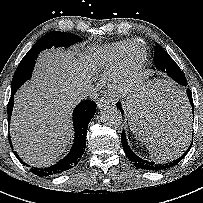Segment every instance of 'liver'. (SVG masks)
<instances>
[{"label": "liver", "instance_id": "1", "mask_svg": "<svg viewBox=\"0 0 203 203\" xmlns=\"http://www.w3.org/2000/svg\"><path fill=\"white\" fill-rule=\"evenodd\" d=\"M88 68L70 52L50 50L41 55L32 80L15 96L11 119V139L20 157L27 163L46 167L65 150L73 136L71 113L77 101L74 91L90 85ZM142 99L127 103L129 124L147 142L157 148L181 136L188 124L183 115L163 114L153 124L140 115Z\"/></svg>", "mask_w": 203, "mask_h": 203}]
</instances>
